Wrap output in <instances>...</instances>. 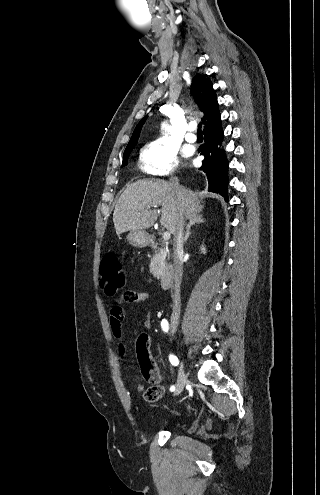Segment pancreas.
Masks as SVG:
<instances>
[{"instance_id": "pancreas-1", "label": "pancreas", "mask_w": 320, "mask_h": 495, "mask_svg": "<svg viewBox=\"0 0 320 495\" xmlns=\"http://www.w3.org/2000/svg\"><path fill=\"white\" fill-rule=\"evenodd\" d=\"M167 268L166 264V251L160 249L155 252V255L151 259L150 273L154 277H159Z\"/></svg>"}]
</instances>
